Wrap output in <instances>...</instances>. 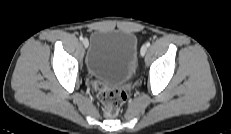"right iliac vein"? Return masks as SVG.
<instances>
[{"instance_id": "63e3f726", "label": "right iliac vein", "mask_w": 231, "mask_h": 134, "mask_svg": "<svg viewBox=\"0 0 231 134\" xmlns=\"http://www.w3.org/2000/svg\"><path fill=\"white\" fill-rule=\"evenodd\" d=\"M82 43H83V45H84L85 48H87L88 45H89V42H88V40L86 38L83 39Z\"/></svg>"}]
</instances>
